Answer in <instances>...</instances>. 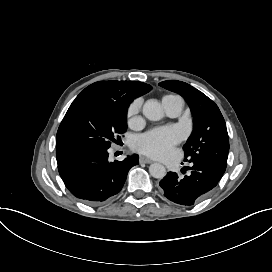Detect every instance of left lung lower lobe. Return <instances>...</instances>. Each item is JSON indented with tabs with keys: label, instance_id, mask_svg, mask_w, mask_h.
<instances>
[{
	"label": "left lung lower lobe",
	"instance_id": "0a47b994",
	"mask_svg": "<svg viewBox=\"0 0 272 272\" xmlns=\"http://www.w3.org/2000/svg\"><path fill=\"white\" fill-rule=\"evenodd\" d=\"M191 169V175L181 180L176 173L168 172L160 181L159 185L166 198L178 205H194L218 184L225 172L199 161L193 162Z\"/></svg>",
	"mask_w": 272,
	"mask_h": 272
}]
</instances>
